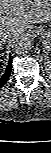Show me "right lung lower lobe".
<instances>
[{
    "label": "right lung lower lobe",
    "mask_w": 51,
    "mask_h": 153,
    "mask_svg": "<svg viewBox=\"0 0 51 153\" xmlns=\"http://www.w3.org/2000/svg\"><path fill=\"white\" fill-rule=\"evenodd\" d=\"M11 71H12V59L10 56L5 73L0 77V88L8 81L9 76L11 75Z\"/></svg>",
    "instance_id": "98d812e1"
}]
</instances>
